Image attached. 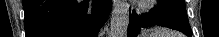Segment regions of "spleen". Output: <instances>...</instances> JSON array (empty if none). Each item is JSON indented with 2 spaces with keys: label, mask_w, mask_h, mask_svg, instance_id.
I'll return each mask as SVG.
<instances>
[{
  "label": "spleen",
  "mask_w": 219,
  "mask_h": 37,
  "mask_svg": "<svg viewBox=\"0 0 219 37\" xmlns=\"http://www.w3.org/2000/svg\"><path fill=\"white\" fill-rule=\"evenodd\" d=\"M152 37H182L178 33H172L171 31L167 29H153L152 30Z\"/></svg>",
  "instance_id": "obj_1"
}]
</instances>
